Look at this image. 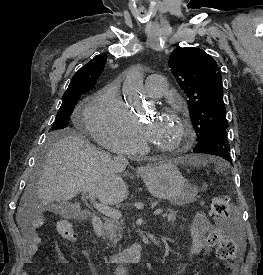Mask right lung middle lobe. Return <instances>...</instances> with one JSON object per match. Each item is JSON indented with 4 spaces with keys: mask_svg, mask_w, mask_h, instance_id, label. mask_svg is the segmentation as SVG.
Listing matches in <instances>:
<instances>
[{
    "mask_svg": "<svg viewBox=\"0 0 263 275\" xmlns=\"http://www.w3.org/2000/svg\"><path fill=\"white\" fill-rule=\"evenodd\" d=\"M89 91L88 89L76 90L63 95L61 107L56 115L53 129H64L68 126L70 116L80 96Z\"/></svg>",
    "mask_w": 263,
    "mask_h": 275,
    "instance_id": "1",
    "label": "right lung middle lobe"
}]
</instances>
